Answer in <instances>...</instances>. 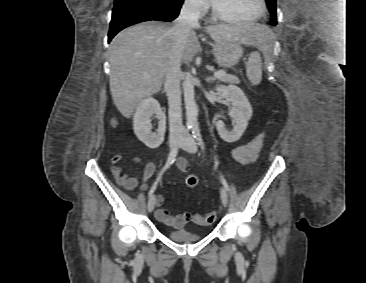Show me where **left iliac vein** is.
<instances>
[{
	"label": "left iliac vein",
	"instance_id": "1",
	"mask_svg": "<svg viewBox=\"0 0 366 283\" xmlns=\"http://www.w3.org/2000/svg\"><path fill=\"white\" fill-rule=\"evenodd\" d=\"M180 147L189 153H195L197 151V145H196L194 138L187 132H185L181 137ZM220 197H221L222 204L224 206H227L228 195H227L226 190L223 188L220 191Z\"/></svg>",
	"mask_w": 366,
	"mask_h": 283
}]
</instances>
